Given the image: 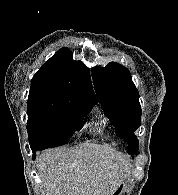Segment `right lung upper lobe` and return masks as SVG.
Listing matches in <instances>:
<instances>
[{"mask_svg": "<svg viewBox=\"0 0 178 195\" xmlns=\"http://www.w3.org/2000/svg\"><path fill=\"white\" fill-rule=\"evenodd\" d=\"M83 102L96 104L90 71L74 61L70 49L61 48L31 80L28 101Z\"/></svg>", "mask_w": 178, "mask_h": 195, "instance_id": "cb5924a9", "label": "right lung upper lobe"}]
</instances>
